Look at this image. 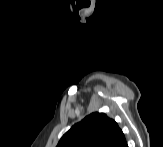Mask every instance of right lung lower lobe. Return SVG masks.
I'll use <instances>...</instances> for the list:
<instances>
[{
	"mask_svg": "<svg viewBox=\"0 0 163 147\" xmlns=\"http://www.w3.org/2000/svg\"><path fill=\"white\" fill-rule=\"evenodd\" d=\"M114 147H128L125 137L116 143Z\"/></svg>",
	"mask_w": 163,
	"mask_h": 147,
	"instance_id": "obj_1",
	"label": "right lung lower lobe"
}]
</instances>
